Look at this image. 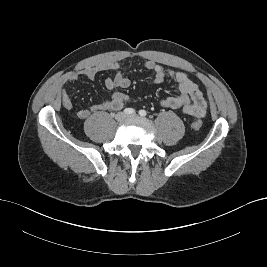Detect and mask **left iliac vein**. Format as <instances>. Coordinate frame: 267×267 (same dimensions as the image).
I'll return each mask as SVG.
<instances>
[{"instance_id":"left-iliac-vein-1","label":"left iliac vein","mask_w":267,"mask_h":267,"mask_svg":"<svg viewBox=\"0 0 267 267\" xmlns=\"http://www.w3.org/2000/svg\"><path fill=\"white\" fill-rule=\"evenodd\" d=\"M135 117H136L135 114H132V115L128 116V118H135Z\"/></svg>"}]
</instances>
